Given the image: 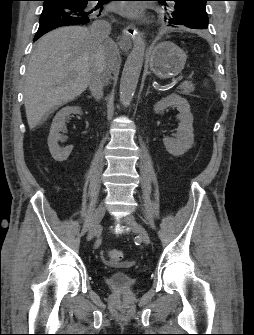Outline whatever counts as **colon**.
<instances>
[{
  "instance_id": "colon-1",
  "label": "colon",
  "mask_w": 254,
  "mask_h": 335,
  "mask_svg": "<svg viewBox=\"0 0 254 335\" xmlns=\"http://www.w3.org/2000/svg\"><path fill=\"white\" fill-rule=\"evenodd\" d=\"M107 261L110 263H119L122 260V252L118 249H109L107 251Z\"/></svg>"
}]
</instances>
